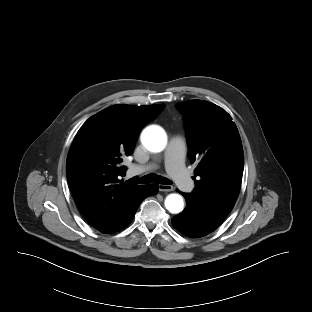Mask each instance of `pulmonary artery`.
<instances>
[{"mask_svg": "<svg viewBox=\"0 0 312 312\" xmlns=\"http://www.w3.org/2000/svg\"><path fill=\"white\" fill-rule=\"evenodd\" d=\"M186 145L181 137H172L164 151L165 167L171 178L182 191H189L193 181L184 166ZM149 167H139L137 170L145 171Z\"/></svg>", "mask_w": 312, "mask_h": 312, "instance_id": "obj_1", "label": "pulmonary artery"}]
</instances>
